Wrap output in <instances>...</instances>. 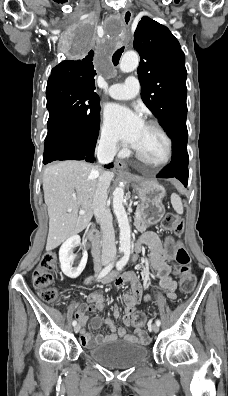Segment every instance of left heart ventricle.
Instances as JSON below:
<instances>
[{"label":"left heart ventricle","instance_id":"b2bd125f","mask_svg":"<svg viewBox=\"0 0 228 396\" xmlns=\"http://www.w3.org/2000/svg\"><path fill=\"white\" fill-rule=\"evenodd\" d=\"M135 148L153 163L162 161L167 153V143L164 137L156 129L147 125L141 131Z\"/></svg>","mask_w":228,"mask_h":396}]
</instances>
